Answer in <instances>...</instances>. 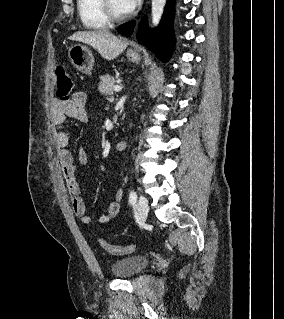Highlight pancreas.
I'll return each instance as SVG.
<instances>
[{"mask_svg": "<svg viewBox=\"0 0 284 319\" xmlns=\"http://www.w3.org/2000/svg\"><path fill=\"white\" fill-rule=\"evenodd\" d=\"M117 82L118 81L116 79H114L110 75L100 76V82L98 84V90H99V92L101 94L111 95V94H113V90H114L115 84Z\"/></svg>", "mask_w": 284, "mask_h": 319, "instance_id": "obj_1", "label": "pancreas"}]
</instances>
